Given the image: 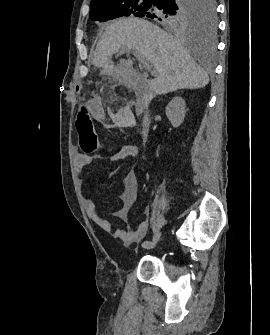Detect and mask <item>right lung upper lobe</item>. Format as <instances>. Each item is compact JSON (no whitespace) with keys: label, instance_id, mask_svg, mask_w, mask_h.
Returning <instances> with one entry per match:
<instances>
[{"label":"right lung upper lobe","instance_id":"obj_1","mask_svg":"<svg viewBox=\"0 0 270 335\" xmlns=\"http://www.w3.org/2000/svg\"><path fill=\"white\" fill-rule=\"evenodd\" d=\"M108 1H110V0H91V7L99 6V5L104 4Z\"/></svg>","mask_w":270,"mask_h":335}]
</instances>
